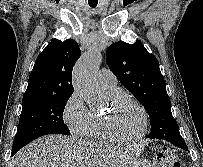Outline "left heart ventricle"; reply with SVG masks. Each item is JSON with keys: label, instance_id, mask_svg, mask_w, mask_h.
<instances>
[{"label": "left heart ventricle", "instance_id": "b2bd125f", "mask_svg": "<svg viewBox=\"0 0 203 167\" xmlns=\"http://www.w3.org/2000/svg\"><path fill=\"white\" fill-rule=\"evenodd\" d=\"M109 112L113 132L126 139L136 137L142 129L143 117L140 110L126 101L116 103Z\"/></svg>", "mask_w": 203, "mask_h": 167}]
</instances>
